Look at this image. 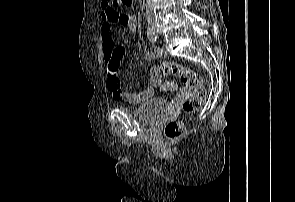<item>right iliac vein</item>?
<instances>
[{"mask_svg":"<svg viewBox=\"0 0 295 202\" xmlns=\"http://www.w3.org/2000/svg\"><path fill=\"white\" fill-rule=\"evenodd\" d=\"M152 29H155L154 25H152Z\"/></svg>","mask_w":295,"mask_h":202,"instance_id":"63e3f726","label":"right iliac vein"}]
</instances>
